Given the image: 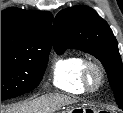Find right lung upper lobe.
Returning a JSON list of instances; mask_svg holds the SVG:
<instances>
[{
    "instance_id": "right-lung-upper-lobe-1",
    "label": "right lung upper lobe",
    "mask_w": 123,
    "mask_h": 113,
    "mask_svg": "<svg viewBox=\"0 0 123 113\" xmlns=\"http://www.w3.org/2000/svg\"><path fill=\"white\" fill-rule=\"evenodd\" d=\"M52 14L8 8L1 12V44L46 42L51 45Z\"/></svg>"
}]
</instances>
